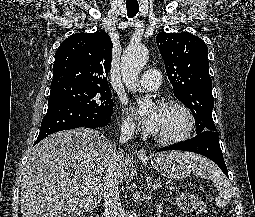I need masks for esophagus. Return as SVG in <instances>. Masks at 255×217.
I'll use <instances>...</instances> for the list:
<instances>
[{"mask_svg": "<svg viewBox=\"0 0 255 217\" xmlns=\"http://www.w3.org/2000/svg\"><path fill=\"white\" fill-rule=\"evenodd\" d=\"M137 157L139 159H147L148 158V155H147V151L145 149H140L138 152H137Z\"/></svg>", "mask_w": 255, "mask_h": 217, "instance_id": "esophagus-1", "label": "esophagus"}]
</instances>
